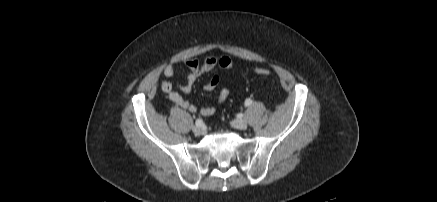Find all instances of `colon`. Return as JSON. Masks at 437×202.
I'll return each mask as SVG.
<instances>
[{
    "mask_svg": "<svg viewBox=\"0 0 437 202\" xmlns=\"http://www.w3.org/2000/svg\"><path fill=\"white\" fill-rule=\"evenodd\" d=\"M255 73L257 74V75H259V76H263V77H266V76H269L270 75V70L269 69H267V68H256L255 69Z\"/></svg>",
    "mask_w": 437,
    "mask_h": 202,
    "instance_id": "colon-1",
    "label": "colon"
}]
</instances>
